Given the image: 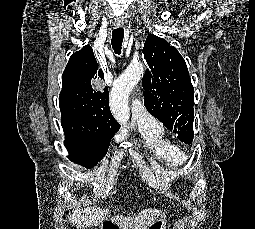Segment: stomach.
<instances>
[{"instance_id":"obj_1","label":"stomach","mask_w":255,"mask_h":229,"mask_svg":"<svg viewBox=\"0 0 255 229\" xmlns=\"http://www.w3.org/2000/svg\"><path fill=\"white\" fill-rule=\"evenodd\" d=\"M108 222V221H107ZM104 224H106L105 222L102 224V229H103V226ZM114 224V228L115 229H122L120 226H118L117 224L113 223ZM146 229H166V220L165 218H159L157 220H155L151 225H149Z\"/></svg>"}]
</instances>
